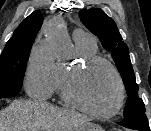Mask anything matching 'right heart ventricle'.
<instances>
[{"mask_svg": "<svg viewBox=\"0 0 151 131\" xmlns=\"http://www.w3.org/2000/svg\"><path fill=\"white\" fill-rule=\"evenodd\" d=\"M76 47L82 58L94 56L97 53L96 44L76 41ZM70 69L71 67L66 64L63 63L58 64V79L56 89L62 90L65 77Z\"/></svg>", "mask_w": 151, "mask_h": 131, "instance_id": "1", "label": "right heart ventricle"}]
</instances>
